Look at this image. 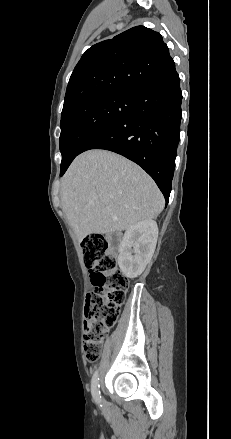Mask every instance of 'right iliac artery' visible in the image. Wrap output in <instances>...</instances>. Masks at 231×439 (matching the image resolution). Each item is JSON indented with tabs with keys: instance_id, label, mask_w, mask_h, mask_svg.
Instances as JSON below:
<instances>
[{
	"instance_id": "right-iliac-artery-1",
	"label": "right iliac artery",
	"mask_w": 231,
	"mask_h": 439,
	"mask_svg": "<svg viewBox=\"0 0 231 439\" xmlns=\"http://www.w3.org/2000/svg\"><path fill=\"white\" fill-rule=\"evenodd\" d=\"M91 392L92 396L98 404L101 402V395L99 390V377H98V371H96L92 377L91 380Z\"/></svg>"
}]
</instances>
